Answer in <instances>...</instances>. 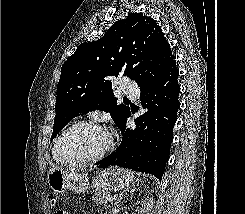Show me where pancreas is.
Returning <instances> with one entry per match:
<instances>
[{
	"label": "pancreas",
	"instance_id": "pancreas-1",
	"mask_svg": "<svg viewBox=\"0 0 245 214\" xmlns=\"http://www.w3.org/2000/svg\"><path fill=\"white\" fill-rule=\"evenodd\" d=\"M92 200L98 205H106L108 202V194L105 191L96 190Z\"/></svg>",
	"mask_w": 245,
	"mask_h": 214
}]
</instances>
